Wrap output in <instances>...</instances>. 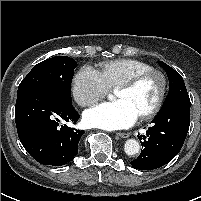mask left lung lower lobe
<instances>
[{
	"instance_id": "0a47b994",
	"label": "left lung lower lobe",
	"mask_w": 201,
	"mask_h": 201,
	"mask_svg": "<svg viewBox=\"0 0 201 201\" xmlns=\"http://www.w3.org/2000/svg\"><path fill=\"white\" fill-rule=\"evenodd\" d=\"M190 100L162 106L146 135L140 136L143 150L131 162L135 169H157L172 160L181 150L190 126Z\"/></svg>"
}]
</instances>
